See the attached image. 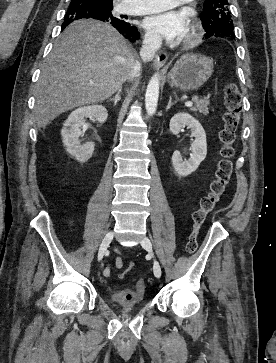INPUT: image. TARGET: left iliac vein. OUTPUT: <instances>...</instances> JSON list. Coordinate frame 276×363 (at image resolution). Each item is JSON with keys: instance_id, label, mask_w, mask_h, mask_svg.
I'll list each match as a JSON object with an SVG mask.
<instances>
[{"instance_id": "obj_1", "label": "left iliac vein", "mask_w": 276, "mask_h": 363, "mask_svg": "<svg viewBox=\"0 0 276 363\" xmlns=\"http://www.w3.org/2000/svg\"><path fill=\"white\" fill-rule=\"evenodd\" d=\"M141 245L142 247L147 250L150 254H153V250H152V243L149 240V238L144 237L143 240L141 241ZM153 270H154V274L157 278H159L161 276V267L160 264L157 260L154 259V266H153Z\"/></svg>"}]
</instances>
